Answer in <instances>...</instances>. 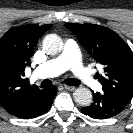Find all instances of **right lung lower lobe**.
Returning <instances> with one entry per match:
<instances>
[{
  "mask_svg": "<svg viewBox=\"0 0 133 133\" xmlns=\"http://www.w3.org/2000/svg\"><path fill=\"white\" fill-rule=\"evenodd\" d=\"M57 93V88L44 89L43 92L33 100L29 110L16 114L14 116L18 118H35L48 112L51 107L52 100Z\"/></svg>",
  "mask_w": 133,
  "mask_h": 133,
  "instance_id": "1",
  "label": "right lung lower lobe"
}]
</instances>
